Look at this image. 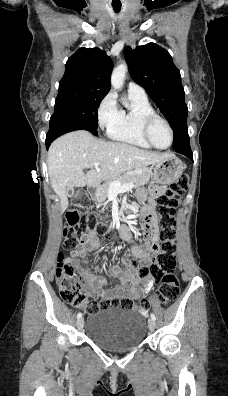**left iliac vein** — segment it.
I'll use <instances>...</instances> for the list:
<instances>
[{
	"label": "left iliac vein",
	"instance_id": "obj_1",
	"mask_svg": "<svg viewBox=\"0 0 228 396\" xmlns=\"http://www.w3.org/2000/svg\"><path fill=\"white\" fill-rule=\"evenodd\" d=\"M155 327H156V322H155V320L152 319V318H150V319L148 320V328H149V330L152 332V331H154Z\"/></svg>",
	"mask_w": 228,
	"mask_h": 396
}]
</instances>
